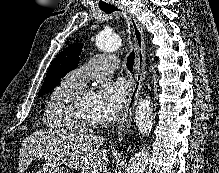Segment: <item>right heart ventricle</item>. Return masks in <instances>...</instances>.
I'll return each instance as SVG.
<instances>
[{
  "label": "right heart ventricle",
  "instance_id": "1",
  "mask_svg": "<svg viewBox=\"0 0 219 173\" xmlns=\"http://www.w3.org/2000/svg\"><path fill=\"white\" fill-rule=\"evenodd\" d=\"M82 88L66 77L51 91L44 110V119L48 129L61 134L83 131L71 113V103Z\"/></svg>",
  "mask_w": 219,
  "mask_h": 173
}]
</instances>
